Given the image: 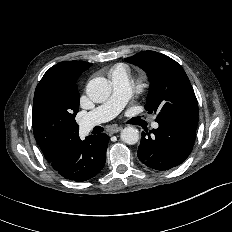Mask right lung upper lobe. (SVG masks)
<instances>
[{
    "label": "right lung upper lobe",
    "mask_w": 232,
    "mask_h": 232,
    "mask_svg": "<svg viewBox=\"0 0 232 232\" xmlns=\"http://www.w3.org/2000/svg\"><path fill=\"white\" fill-rule=\"evenodd\" d=\"M92 63L83 61L60 62L46 71L40 83L37 85L34 100L38 98L41 90L50 92L65 93L71 96H79L76 81L79 76L87 70ZM79 128L69 132L65 136L53 143H43L37 141L45 158L52 167L59 165L65 147L74 139L79 137Z\"/></svg>",
    "instance_id": "right-lung-upper-lobe-1"
}]
</instances>
